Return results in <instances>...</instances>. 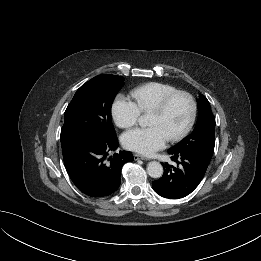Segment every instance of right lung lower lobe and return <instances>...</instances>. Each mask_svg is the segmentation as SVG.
<instances>
[{
	"instance_id": "obj_1",
	"label": "right lung lower lobe",
	"mask_w": 261,
	"mask_h": 261,
	"mask_svg": "<svg viewBox=\"0 0 261 261\" xmlns=\"http://www.w3.org/2000/svg\"><path fill=\"white\" fill-rule=\"evenodd\" d=\"M117 147L118 140L114 136L83 140L62 149L67 173L82 193L90 197H105L118 189L122 166L133 161L134 157L129 151L109 156V152Z\"/></svg>"
}]
</instances>
